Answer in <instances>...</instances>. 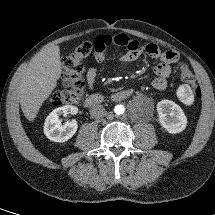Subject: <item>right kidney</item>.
<instances>
[{"instance_id": "ca27d5eb", "label": "right kidney", "mask_w": 215, "mask_h": 215, "mask_svg": "<svg viewBox=\"0 0 215 215\" xmlns=\"http://www.w3.org/2000/svg\"><path fill=\"white\" fill-rule=\"evenodd\" d=\"M78 113V108L71 105H66L54 109L46 118L44 123V133L46 137L54 142H66L77 131L78 124L76 120L67 121L62 124L61 115Z\"/></svg>"}]
</instances>
